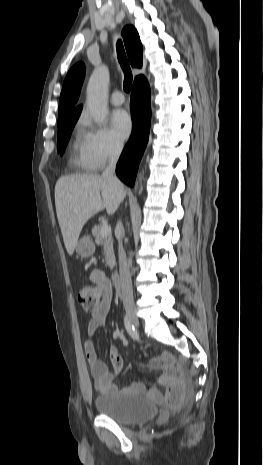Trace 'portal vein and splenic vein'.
<instances>
[{
    "label": "portal vein and splenic vein",
    "instance_id": "1",
    "mask_svg": "<svg viewBox=\"0 0 263 465\" xmlns=\"http://www.w3.org/2000/svg\"><path fill=\"white\" fill-rule=\"evenodd\" d=\"M109 234H111V227L108 224H103L101 228V235L108 236Z\"/></svg>",
    "mask_w": 263,
    "mask_h": 465
}]
</instances>
